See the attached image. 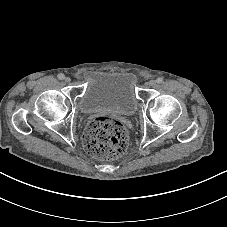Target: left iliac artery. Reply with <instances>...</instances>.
<instances>
[{"label":"left iliac artery","mask_w":227,"mask_h":227,"mask_svg":"<svg viewBox=\"0 0 227 227\" xmlns=\"http://www.w3.org/2000/svg\"><path fill=\"white\" fill-rule=\"evenodd\" d=\"M156 82H157V83H162V82H163V78H162V77H158V78L156 79Z\"/></svg>","instance_id":"1"}]
</instances>
